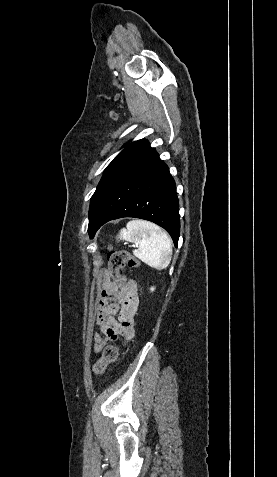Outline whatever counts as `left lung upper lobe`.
Here are the masks:
<instances>
[{"label": "left lung upper lobe", "instance_id": "1", "mask_svg": "<svg viewBox=\"0 0 277 477\" xmlns=\"http://www.w3.org/2000/svg\"><path fill=\"white\" fill-rule=\"evenodd\" d=\"M148 141L145 139H141L138 141H134L130 144H128L113 160L112 162L107 166V168L104 171L103 177L100 180L97 189L93 196L91 197L90 201V209H89V219L92 216L95 205L98 199V196L100 192L102 191L106 181L108 178L113 174V172L124 162L126 161L131 155H133L137 150H139L142 146L147 144Z\"/></svg>", "mask_w": 277, "mask_h": 477}]
</instances>
